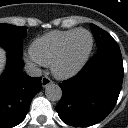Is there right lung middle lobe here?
I'll use <instances>...</instances> for the list:
<instances>
[{
	"label": "right lung middle lobe",
	"instance_id": "obj_1",
	"mask_svg": "<svg viewBox=\"0 0 128 128\" xmlns=\"http://www.w3.org/2000/svg\"><path fill=\"white\" fill-rule=\"evenodd\" d=\"M27 27H17L10 24H0V46L8 52L22 57V40L26 37Z\"/></svg>",
	"mask_w": 128,
	"mask_h": 128
}]
</instances>
